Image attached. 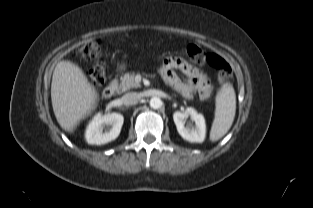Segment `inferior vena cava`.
Instances as JSON below:
<instances>
[{
  "mask_svg": "<svg viewBox=\"0 0 313 208\" xmlns=\"http://www.w3.org/2000/svg\"><path fill=\"white\" fill-rule=\"evenodd\" d=\"M140 96L136 92H129L122 96V102L124 105H135L138 103Z\"/></svg>",
  "mask_w": 313,
  "mask_h": 208,
  "instance_id": "obj_1",
  "label": "inferior vena cava"
}]
</instances>
